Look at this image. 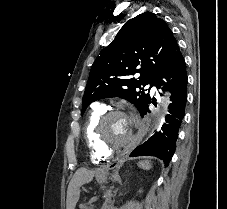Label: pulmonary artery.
Segmentation results:
<instances>
[{"instance_id": "1", "label": "pulmonary artery", "mask_w": 227, "mask_h": 209, "mask_svg": "<svg viewBox=\"0 0 227 209\" xmlns=\"http://www.w3.org/2000/svg\"><path fill=\"white\" fill-rule=\"evenodd\" d=\"M90 105H99V100H90Z\"/></svg>"}]
</instances>
